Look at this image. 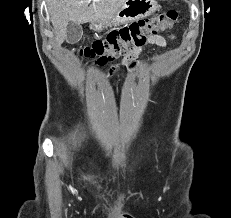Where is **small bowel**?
<instances>
[{
  "label": "small bowel",
  "mask_w": 231,
  "mask_h": 218,
  "mask_svg": "<svg viewBox=\"0 0 231 218\" xmlns=\"http://www.w3.org/2000/svg\"><path fill=\"white\" fill-rule=\"evenodd\" d=\"M171 38H173V36H171ZM166 44H167V40L164 36L156 35V36L150 37L145 45H157V46L164 47V46H166ZM142 47L137 48V49L129 52L128 54H126L125 57L122 59V62H121L122 65L127 64V65H131V67H134L136 64V61L137 62L139 61L138 59L135 60V58L140 54ZM112 70L113 71L119 70V67L117 66L116 63L112 64ZM106 72L110 73L111 71L107 70ZM120 72L122 73L123 71L121 70ZM113 74L115 75L116 73L114 72Z\"/></svg>",
  "instance_id": "1"
}]
</instances>
